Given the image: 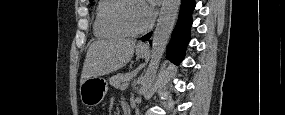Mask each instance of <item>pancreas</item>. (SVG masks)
Wrapping results in <instances>:
<instances>
[{"mask_svg":"<svg viewBox=\"0 0 285 115\" xmlns=\"http://www.w3.org/2000/svg\"><path fill=\"white\" fill-rule=\"evenodd\" d=\"M135 76V72H129L126 74H116L109 79V83L115 87L120 88L125 82H128Z\"/></svg>","mask_w":285,"mask_h":115,"instance_id":"cf45deb5","label":"pancreas"}]
</instances>
